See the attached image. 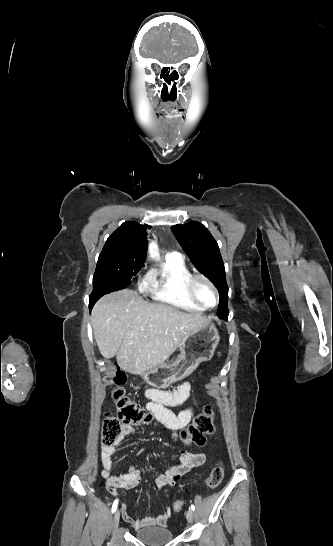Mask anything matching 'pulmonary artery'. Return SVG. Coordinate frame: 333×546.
Here are the masks:
<instances>
[{
  "label": "pulmonary artery",
  "instance_id": "e3ab8cb5",
  "mask_svg": "<svg viewBox=\"0 0 333 546\" xmlns=\"http://www.w3.org/2000/svg\"><path fill=\"white\" fill-rule=\"evenodd\" d=\"M168 258H175V259H181L182 255L177 251H172L167 254Z\"/></svg>",
  "mask_w": 333,
  "mask_h": 546
}]
</instances>
